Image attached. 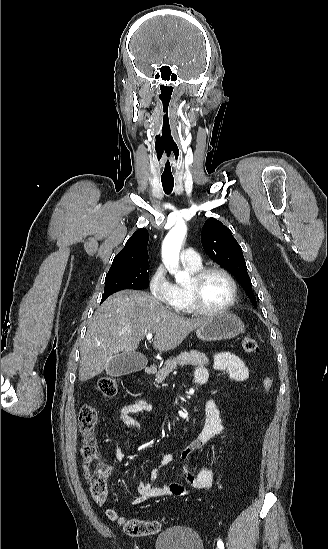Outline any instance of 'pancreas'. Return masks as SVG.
I'll list each match as a JSON object with an SVG mask.
<instances>
[{"instance_id": "obj_1", "label": "pancreas", "mask_w": 328, "mask_h": 549, "mask_svg": "<svg viewBox=\"0 0 328 549\" xmlns=\"http://www.w3.org/2000/svg\"><path fill=\"white\" fill-rule=\"evenodd\" d=\"M209 359H207L204 353H199V351H190V353H180L178 357H170L164 363V367L159 369L156 373V383H163L169 373H172L173 369L177 365H197V367H204L208 365Z\"/></svg>"}]
</instances>
